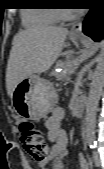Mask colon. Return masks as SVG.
<instances>
[{
  "label": "colon",
  "mask_w": 104,
  "mask_h": 169,
  "mask_svg": "<svg viewBox=\"0 0 104 169\" xmlns=\"http://www.w3.org/2000/svg\"><path fill=\"white\" fill-rule=\"evenodd\" d=\"M19 134L24 150L33 160L37 162L46 160L49 154V145L44 140L40 129L30 122H22L19 125Z\"/></svg>",
  "instance_id": "obj_1"
}]
</instances>
